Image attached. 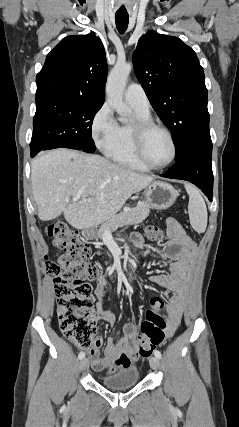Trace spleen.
I'll use <instances>...</instances> for the list:
<instances>
[{"instance_id":"obj_1","label":"spleen","mask_w":239,"mask_h":427,"mask_svg":"<svg viewBox=\"0 0 239 427\" xmlns=\"http://www.w3.org/2000/svg\"><path fill=\"white\" fill-rule=\"evenodd\" d=\"M185 189L189 195L188 213L190 224L197 233H203L206 230L208 218L205 201L194 186L185 184Z\"/></svg>"}]
</instances>
